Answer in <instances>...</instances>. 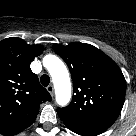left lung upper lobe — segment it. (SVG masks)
I'll list each match as a JSON object with an SVG mask.
<instances>
[{
    "instance_id": "5c2ea615",
    "label": "left lung upper lobe",
    "mask_w": 136,
    "mask_h": 136,
    "mask_svg": "<svg viewBox=\"0 0 136 136\" xmlns=\"http://www.w3.org/2000/svg\"><path fill=\"white\" fill-rule=\"evenodd\" d=\"M71 72L74 95L71 103L58 108L64 124H108L118 118L125 100L126 81L118 65L98 48L73 42L54 44Z\"/></svg>"
}]
</instances>
